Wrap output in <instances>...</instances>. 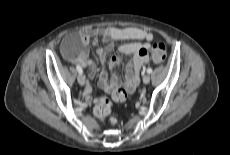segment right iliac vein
<instances>
[{"label":"right iliac vein","mask_w":230,"mask_h":155,"mask_svg":"<svg viewBox=\"0 0 230 155\" xmlns=\"http://www.w3.org/2000/svg\"><path fill=\"white\" fill-rule=\"evenodd\" d=\"M77 80H78V83H79L81 86H84V84H85V77H84V75L79 74L78 77H77Z\"/></svg>","instance_id":"right-iliac-vein-1"}]
</instances>
